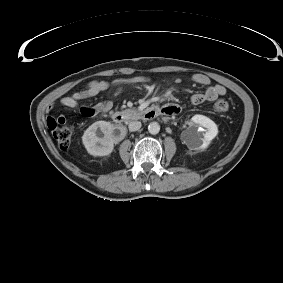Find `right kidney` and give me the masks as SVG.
Here are the masks:
<instances>
[{
	"mask_svg": "<svg viewBox=\"0 0 283 283\" xmlns=\"http://www.w3.org/2000/svg\"><path fill=\"white\" fill-rule=\"evenodd\" d=\"M122 139L123 136L113 124L107 121H96L85 130L82 143L90 155L107 156L113 151L114 145Z\"/></svg>",
	"mask_w": 283,
	"mask_h": 283,
	"instance_id": "1",
	"label": "right kidney"
}]
</instances>
